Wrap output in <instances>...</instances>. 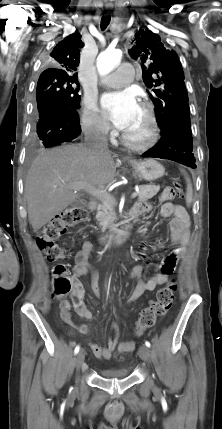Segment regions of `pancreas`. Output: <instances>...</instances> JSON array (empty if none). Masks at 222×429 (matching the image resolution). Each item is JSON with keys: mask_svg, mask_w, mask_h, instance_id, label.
I'll use <instances>...</instances> for the list:
<instances>
[{"mask_svg": "<svg viewBox=\"0 0 222 429\" xmlns=\"http://www.w3.org/2000/svg\"><path fill=\"white\" fill-rule=\"evenodd\" d=\"M160 190V186L156 185H143L140 186L138 192V199L140 201H146L155 196ZM101 206L96 214V219L99 221V225L102 227V232H105L109 228V224L116 219L114 207L116 205L115 200L101 199Z\"/></svg>", "mask_w": 222, "mask_h": 429, "instance_id": "pancreas-1", "label": "pancreas"}]
</instances>
